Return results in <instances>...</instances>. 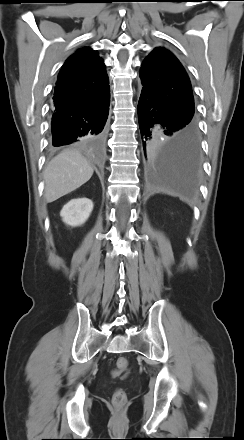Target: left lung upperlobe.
<instances>
[{
    "instance_id": "obj_1",
    "label": "left lung upper lobe",
    "mask_w": 244,
    "mask_h": 440,
    "mask_svg": "<svg viewBox=\"0 0 244 440\" xmlns=\"http://www.w3.org/2000/svg\"><path fill=\"white\" fill-rule=\"evenodd\" d=\"M143 88L171 105L176 111L194 117V99L189 77L179 60L167 49L155 48L140 70ZM197 126V124H196Z\"/></svg>"
}]
</instances>
